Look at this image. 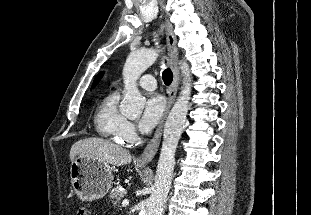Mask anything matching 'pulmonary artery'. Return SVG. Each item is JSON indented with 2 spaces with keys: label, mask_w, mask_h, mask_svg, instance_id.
Listing matches in <instances>:
<instances>
[{
  "label": "pulmonary artery",
  "mask_w": 311,
  "mask_h": 215,
  "mask_svg": "<svg viewBox=\"0 0 311 215\" xmlns=\"http://www.w3.org/2000/svg\"><path fill=\"white\" fill-rule=\"evenodd\" d=\"M138 84L141 88L148 90V91H153L155 90L157 84H156V80L152 75H144L142 76L139 81Z\"/></svg>",
  "instance_id": "pulmonary-artery-1"
}]
</instances>
